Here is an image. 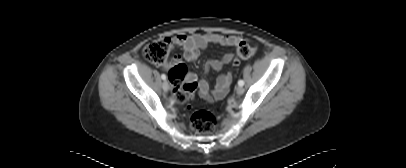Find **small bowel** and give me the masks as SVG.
<instances>
[{
  "label": "small bowel",
  "instance_id": "small-bowel-1",
  "mask_svg": "<svg viewBox=\"0 0 406 168\" xmlns=\"http://www.w3.org/2000/svg\"><path fill=\"white\" fill-rule=\"evenodd\" d=\"M241 42V38L234 35H222L217 33L193 34V35H177L173 39V44L182 49V55L175 54L171 60L163 63L166 70L171 69L181 64L183 60L193 62L197 60L201 50L206 49L210 45H219L222 47H236ZM233 60V55L227 53L220 59H209L206 61V71H219L225 64ZM183 64V63H182ZM184 78L188 82H196L195 74L187 71ZM232 81V73L227 72L218 76L215 88L212 92L209 91L208 83L205 80L198 82L200 96L208 102L221 100L227 93Z\"/></svg>",
  "mask_w": 406,
  "mask_h": 168
}]
</instances>
